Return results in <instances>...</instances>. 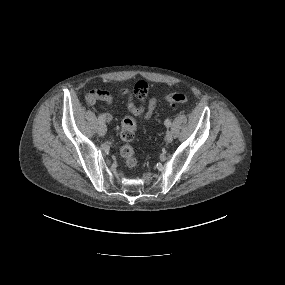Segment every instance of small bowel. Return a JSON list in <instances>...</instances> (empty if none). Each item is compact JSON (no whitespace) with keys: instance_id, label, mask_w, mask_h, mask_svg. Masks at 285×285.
<instances>
[{"instance_id":"c3829d8e","label":"small bowel","mask_w":285,"mask_h":285,"mask_svg":"<svg viewBox=\"0 0 285 285\" xmlns=\"http://www.w3.org/2000/svg\"><path fill=\"white\" fill-rule=\"evenodd\" d=\"M119 96L126 99L129 112L135 116H142L144 120L151 119L158 105V99L156 97L147 98L148 86L144 91L139 93H136L135 90L121 89L119 91ZM84 100L89 106L95 105L98 101L106 102L109 105L115 103V97L110 92L100 89L90 90L85 95ZM100 116L106 122H110L112 119V116L109 113H103Z\"/></svg>"}]
</instances>
